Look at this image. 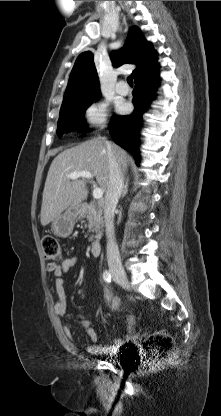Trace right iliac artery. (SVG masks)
Returning <instances> with one entry per match:
<instances>
[{
	"instance_id": "1",
	"label": "right iliac artery",
	"mask_w": 221,
	"mask_h": 416,
	"mask_svg": "<svg viewBox=\"0 0 221 416\" xmlns=\"http://www.w3.org/2000/svg\"><path fill=\"white\" fill-rule=\"evenodd\" d=\"M103 279L106 283H110L111 282V273L109 271H105L103 273Z\"/></svg>"
}]
</instances>
